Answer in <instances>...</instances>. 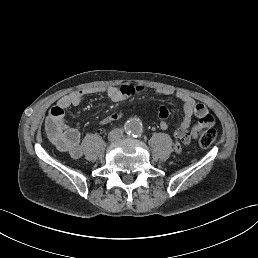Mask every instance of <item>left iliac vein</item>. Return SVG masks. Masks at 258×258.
<instances>
[{
  "label": "left iliac vein",
  "instance_id": "1",
  "mask_svg": "<svg viewBox=\"0 0 258 258\" xmlns=\"http://www.w3.org/2000/svg\"><path fill=\"white\" fill-rule=\"evenodd\" d=\"M118 133L120 134V135H119V138H120V139H123V138H124V135L122 134V133H123V130H122V129H119V130H118Z\"/></svg>",
  "mask_w": 258,
  "mask_h": 258
}]
</instances>
